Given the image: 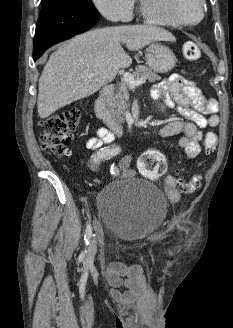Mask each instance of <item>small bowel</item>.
<instances>
[{
  "mask_svg": "<svg viewBox=\"0 0 233 328\" xmlns=\"http://www.w3.org/2000/svg\"><path fill=\"white\" fill-rule=\"evenodd\" d=\"M151 96L153 99H162L166 106L175 108L182 116L181 119L173 120L162 127L158 135L162 138L180 135L177 145L183 149L186 158H196L201 152L202 130L219 123L218 103L214 99L206 98L193 81L180 74H173L155 84L151 89ZM114 139L112 132L101 127L95 136L87 140L86 146L100 152L109 148ZM131 162V156H125L120 161L119 165L125 177L135 174L131 169ZM164 190L171 202L180 199L174 176L169 175L165 178ZM106 279L111 295L122 303L134 301L146 290V278L142 268L137 264L112 263L107 268Z\"/></svg>",
  "mask_w": 233,
  "mask_h": 328,
  "instance_id": "c3829d8e",
  "label": "small bowel"
}]
</instances>
